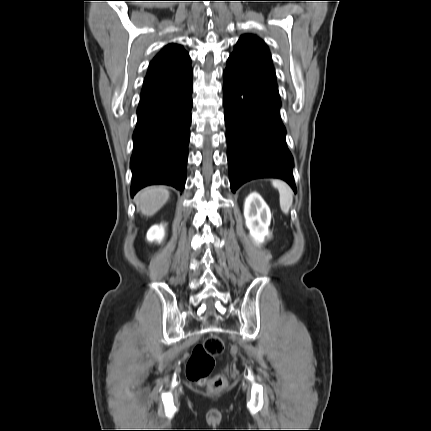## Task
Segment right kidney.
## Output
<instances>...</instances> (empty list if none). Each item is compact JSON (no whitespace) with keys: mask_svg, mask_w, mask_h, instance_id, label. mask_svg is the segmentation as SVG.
I'll return each instance as SVG.
<instances>
[{"mask_svg":"<svg viewBox=\"0 0 431 431\" xmlns=\"http://www.w3.org/2000/svg\"><path fill=\"white\" fill-rule=\"evenodd\" d=\"M165 237V228L163 225H154L152 226L146 235V238L149 242L156 241L161 243Z\"/></svg>","mask_w":431,"mask_h":431,"instance_id":"right-kidney-1","label":"right kidney"}]
</instances>
